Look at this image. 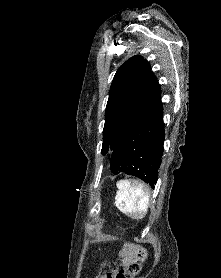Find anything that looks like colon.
<instances>
[{
  "label": "colon",
  "mask_w": 221,
  "mask_h": 278,
  "mask_svg": "<svg viewBox=\"0 0 221 278\" xmlns=\"http://www.w3.org/2000/svg\"><path fill=\"white\" fill-rule=\"evenodd\" d=\"M143 260L144 258H139L129 263L126 268L117 272V278H131L133 275L139 273L143 268Z\"/></svg>",
  "instance_id": "5ec220e1"
}]
</instances>
